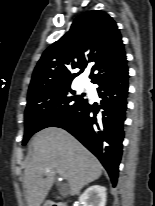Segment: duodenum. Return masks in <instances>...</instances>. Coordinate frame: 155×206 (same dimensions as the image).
<instances>
[{
  "instance_id": "410a0bca",
  "label": "duodenum",
  "mask_w": 155,
  "mask_h": 206,
  "mask_svg": "<svg viewBox=\"0 0 155 206\" xmlns=\"http://www.w3.org/2000/svg\"><path fill=\"white\" fill-rule=\"evenodd\" d=\"M48 206H67V205L61 201H52L49 203Z\"/></svg>"
}]
</instances>
